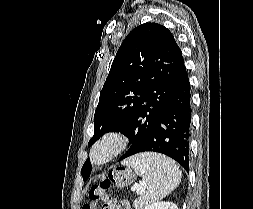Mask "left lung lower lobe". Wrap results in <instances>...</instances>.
<instances>
[{"mask_svg": "<svg viewBox=\"0 0 253 209\" xmlns=\"http://www.w3.org/2000/svg\"><path fill=\"white\" fill-rule=\"evenodd\" d=\"M190 98V83L184 66L162 116L136 153L151 151L165 154L189 172Z\"/></svg>", "mask_w": 253, "mask_h": 209, "instance_id": "obj_1", "label": "left lung lower lobe"}]
</instances>
